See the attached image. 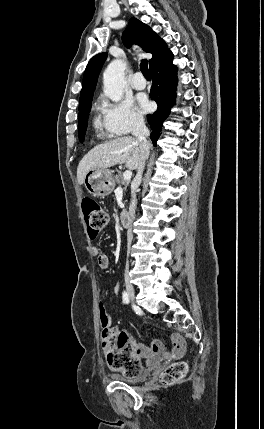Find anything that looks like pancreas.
I'll return each instance as SVG.
<instances>
[{"label": "pancreas", "mask_w": 264, "mask_h": 429, "mask_svg": "<svg viewBox=\"0 0 264 429\" xmlns=\"http://www.w3.org/2000/svg\"><path fill=\"white\" fill-rule=\"evenodd\" d=\"M115 181L119 186H123L124 190H126L127 186L130 183V180H124L121 172L115 176Z\"/></svg>", "instance_id": "pancreas-1"}]
</instances>
